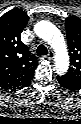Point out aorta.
<instances>
[{
  "instance_id": "1",
  "label": "aorta",
  "mask_w": 81,
  "mask_h": 124,
  "mask_svg": "<svg viewBox=\"0 0 81 124\" xmlns=\"http://www.w3.org/2000/svg\"><path fill=\"white\" fill-rule=\"evenodd\" d=\"M38 37L47 41L53 48L55 56V71L64 74L68 70L69 55L63 35L59 29L48 21H40L34 26Z\"/></svg>"
}]
</instances>
